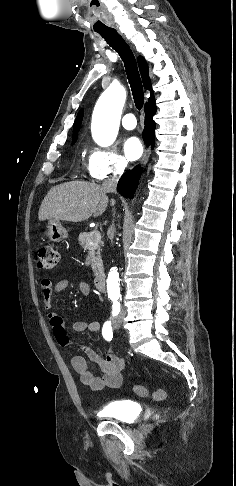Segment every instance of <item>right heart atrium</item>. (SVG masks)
Masks as SVG:
<instances>
[{
  "instance_id": "d8ad5b80",
  "label": "right heart atrium",
  "mask_w": 236,
  "mask_h": 486,
  "mask_svg": "<svg viewBox=\"0 0 236 486\" xmlns=\"http://www.w3.org/2000/svg\"><path fill=\"white\" fill-rule=\"evenodd\" d=\"M125 168V159L114 150L94 148L89 154L87 170L94 180L118 176Z\"/></svg>"
}]
</instances>
